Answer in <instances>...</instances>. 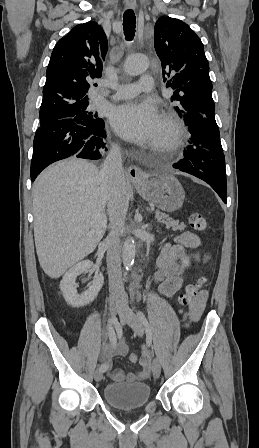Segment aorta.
Returning <instances> with one entry per match:
<instances>
[{
  "mask_svg": "<svg viewBox=\"0 0 259 448\" xmlns=\"http://www.w3.org/2000/svg\"><path fill=\"white\" fill-rule=\"evenodd\" d=\"M149 66V61L147 57L143 55H131L127 57L124 70L127 74L131 76H136L142 74L146 71ZM136 255V244L133 237L129 236L122 248V261L125 269L128 271L134 264V259Z\"/></svg>",
  "mask_w": 259,
  "mask_h": 448,
  "instance_id": "obj_1",
  "label": "aorta"
}]
</instances>
